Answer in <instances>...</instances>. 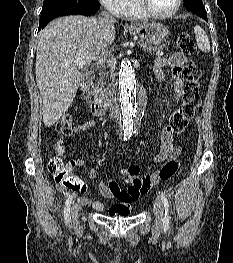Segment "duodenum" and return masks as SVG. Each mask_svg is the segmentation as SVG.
I'll use <instances>...</instances> for the list:
<instances>
[{
	"label": "duodenum",
	"mask_w": 233,
	"mask_h": 263,
	"mask_svg": "<svg viewBox=\"0 0 233 263\" xmlns=\"http://www.w3.org/2000/svg\"><path fill=\"white\" fill-rule=\"evenodd\" d=\"M94 79V72L88 71L83 75L80 93L81 98L86 103L88 109L94 116H102L108 109L110 103L113 102V99L110 98V95L106 94L107 82H100V85L93 87L91 89V84Z\"/></svg>",
	"instance_id": "obj_1"
}]
</instances>
